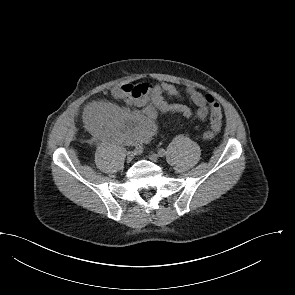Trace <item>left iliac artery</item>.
Instances as JSON below:
<instances>
[{"instance_id": "obj_1", "label": "left iliac artery", "mask_w": 295, "mask_h": 295, "mask_svg": "<svg viewBox=\"0 0 295 295\" xmlns=\"http://www.w3.org/2000/svg\"><path fill=\"white\" fill-rule=\"evenodd\" d=\"M158 155H159L160 157L165 156V155H166V151H165V149L160 148V149L158 150Z\"/></svg>"}]
</instances>
